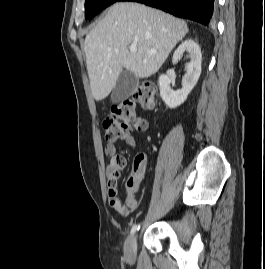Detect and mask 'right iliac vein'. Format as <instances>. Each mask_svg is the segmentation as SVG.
<instances>
[{
  "mask_svg": "<svg viewBox=\"0 0 265 269\" xmlns=\"http://www.w3.org/2000/svg\"><path fill=\"white\" fill-rule=\"evenodd\" d=\"M137 234H132L126 241L124 255L127 260L133 261L136 257Z\"/></svg>",
  "mask_w": 265,
  "mask_h": 269,
  "instance_id": "1",
  "label": "right iliac vein"
}]
</instances>
